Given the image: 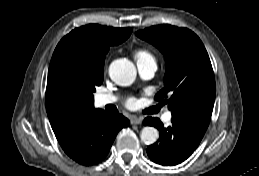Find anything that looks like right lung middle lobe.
I'll return each mask as SVG.
<instances>
[{
    "instance_id": "1",
    "label": "right lung middle lobe",
    "mask_w": 259,
    "mask_h": 176,
    "mask_svg": "<svg viewBox=\"0 0 259 176\" xmlns=\"http://www.w3.org/2000/svg\"><path fill=\"white\" fill-rule=\"evenodd\" d=\"M87 80L91 89L95 92V87L100 86L103 82V72H99L96 74L91 73L87 76Z\"/></svg>"
}]
</instances>
